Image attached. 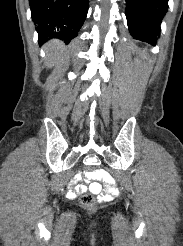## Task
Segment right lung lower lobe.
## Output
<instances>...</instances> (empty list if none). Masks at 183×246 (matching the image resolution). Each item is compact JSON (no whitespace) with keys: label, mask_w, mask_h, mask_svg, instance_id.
<instances>
[{"label":"right lung lower lobe","mask_w":183,"mask_h":246,"mask_svg":"<svg viewBox=\"0 0 183 246\" xmlns=\"http://www.w3.org/2000/svg\"><path fill=\"white\" fill-rule=\"evenodd\" d=\"M89 0H29L39 44L52 38L66 44L75 38L86 19Z\"/></svg>","instance_id":"1"}]
</instances>
